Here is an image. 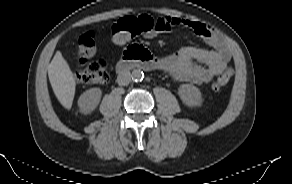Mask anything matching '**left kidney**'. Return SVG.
Wrapping results in <instances>:
<instances>
[{"instance_id":"1","label":"left kidney","mask_w":292,"mask_h":184,"mask_svg":"<svg viewBox=\"0 0 292 184\" xmlns=\"http://www.w3.org/2000/svg\"><path fill=\"white\" fill-rule=\"evenodd\" d=\"M178 94L183 103L189 107L202 105L203 99L200 90L191 84H182L178 89Z\"/></svg>"}]
</instances>
